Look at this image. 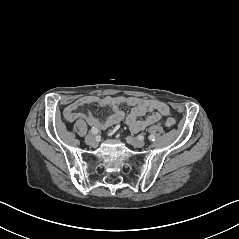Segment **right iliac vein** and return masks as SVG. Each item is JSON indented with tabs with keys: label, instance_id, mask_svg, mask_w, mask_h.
<instances>
[{
	"label": "right iliac vein",
	"instance_id": "1",
	"mask_svg": "<svg viewBox=\"0 0 239 239\" xmlns=\"http://www.w3.org/2000/svg\"><path fill=\"white\" fill-rule=\"evenodd\" d=\"M85 142L88 144V145H95L96 144V140H95V137L91 134H88L86 137H85Z\"/></svg>",
	"mask_w": 239,
	"mask_h": 239
}]
</instances>
